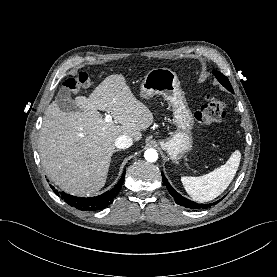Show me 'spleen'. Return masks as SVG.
I'll use <instances>...</instances> for the list:
<instances>
[{
  "label": "spleen",
  "mask_w": 277,
  "mask_h": 277,
  "mask_svg": "<svg viewBox=\"0 0 277 277\" xmlns=\"http://www.w3.org/2000/svg\"><path fill=\"white\" fill-rule=\"evenodd\" d=\"M241 159L240 151H235L228 161L212 172L199 176H183L181 182L186 192L198 202L213 200L222 194L232 182Z\"/></svg>",
  "instance_id": "obj_1"
}]
</instances>
